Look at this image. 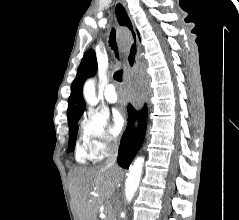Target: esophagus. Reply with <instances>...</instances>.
Returning <instances> with one entry per match:
<instances>
[{
  "instance_id": "1",
  "label": "esophagus",
  "mask_w": 239,
  "mask_h": 220,
  "mask_svg": "<svg viewBox=\"0 0 239 220\" xmlns=\"http://www.w3.org/2000/svg\"><path fill=\"white\" fill-rule=\"evenodd\" d=\"M115 12L120 25H122V28L125 29L124 33L127 36L126 41L128 42L130 39V47L127 53V72L130 75L131 80L130 87H132V92H139L140 84L137 79L138 72L135 71L140 53V44L137 42L138 40L135 36L138 31L137 29H134V24H131L129 17L121 4H117ZM132 102L133 108L137 110L135 113H141L142 111L139 110V107L142 106L141 93H132ZM138 116L141 117L142 115L139 114ZM136 122L140 123L141 119L137 118Z\"/></svg>"
}]
</instances>
